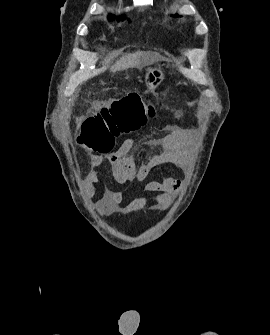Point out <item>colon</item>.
Here are the masks:
<instances>
[{
	"mask_svg": "<svg viewBox=\"0 0 270 335\" xmlns=\"http://www.w3.org/2000/svg\"><path fill=\"white\" fill-rule=\"evenodd\" d=\"M110 110H98V116H90L81 129L78 142L97 154L111 151V137H119L141 130L157 110L138 94H129L119 101H112Z\"/></svg>",
	"mask_w": 270,
	"mask_h": 335,
	"instance_id": "colon-1",
	"label": "colon"
}]
</instances>
